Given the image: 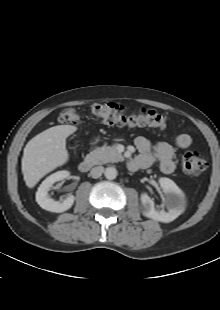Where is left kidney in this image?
<instances>
[{
	"mask_svg": "<svg viewBox=\"0 0 220 310\" xmlns=\"http://www.w3.org/2000/svg\"><path fill=\"white\" fill-rule=\"evenodd\" d=\"M159 183L164 193L167 194L166 206L169 209L168 212L164 210L157 211L154 202L146 193L141 194L142 212L148 218L168 223L179 215L180 211L176 205L183 201L184 194L174 181L169 178L162 177L159 179Z\"/></svg>",
	"mask_w": 220,
	"mask_h": 310,
	"instance_id": "1",
	"label": "left kidney"
}]
</instances>
